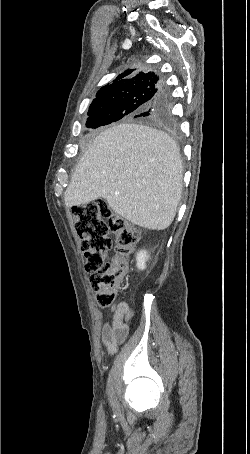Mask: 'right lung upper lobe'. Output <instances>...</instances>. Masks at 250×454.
Returning <instances> with one entry per match:
<instances>
[{
    "label": "right lung upper lobe",
    "instance_id": "1",
    "mask_svg": "<svg viewBox=\"0 0 250 454\" xmlns=\"http://www.w3.org/2000/svg\"><path fill=\"white\" fill-rule=\"evenodd\" d=\"M136 70V69H134ZM133 69L120 74L111 84L103 86L96 94L93 102L107 97H118L123 93L129 92L132 88L141 85L161 86L159 77L154 72H139L135 74ZM128 77V78H126Z\"/></svg>",
    "mask_w": 250,
    "mask_h": 454
}]
</instances>
